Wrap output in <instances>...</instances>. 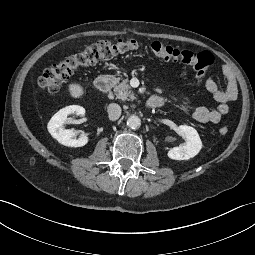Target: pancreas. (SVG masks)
Returning a JSON list of instances; mask_svg holds the SVG:
<instances>
[{
  "instance_id": "cf45deb5",
  "label": "pancreas",
  "mask_w": 255,
  "mask_h": 255,
  "mask_svg": "<svg viewBox=\"0 0 255 255\" xmlns=\"http://www.w3.org/2000/svg\"><path fill=\"white\" fill-rule=\"evenodd\" d=\"M120 78H116L115 82L117 83L114 86V93L116 95V98L121 99L123 101L128 100V101H133L136 99L135 94L131 90V87L128 84V78L122 79L120 83L118 81Z\"/></svg>"
}]
</instances>
